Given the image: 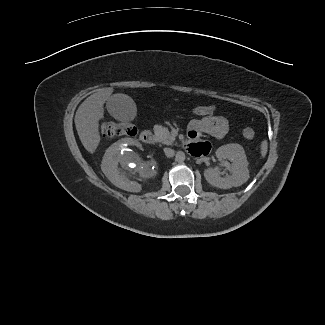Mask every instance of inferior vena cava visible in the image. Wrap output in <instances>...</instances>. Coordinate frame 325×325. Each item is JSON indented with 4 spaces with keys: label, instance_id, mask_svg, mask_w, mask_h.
I'll return each mask as SVG.
<instances>
[{
    "label": "inferior vena cava",
    "instance_id": "inferior-vena-cava-1",
    "mask_svg": "<svg viewBox=\"0 0 325 325\" xmlns=\"http://www.w3.org/2000/svg\"><path fill=\"white\" fill-rule=\"evenodd\" d=\"M164 152H165V155L169 158L173 157L175 155V151L170 148H164Z\"/></svg>",
    "mask_w": 325,
    "mask_h": 325
}]
</instances>
